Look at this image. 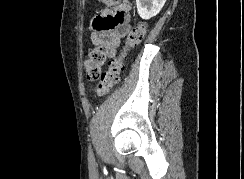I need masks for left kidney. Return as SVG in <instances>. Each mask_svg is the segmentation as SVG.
<instances>
[{
    "label": "left kidney",
    "instance_id": "left-kidney-1",
    "mask_svg": "<svg viewBox=\"0 0 244 179\" xmlns=\"http://www.w3.org/2000/svg\"><path fill=\"white\" fill-rule=\"evenodd\" d=\"M166 0H136L137 12L143 20H150L159 14Z\"/></svg>",
    "mask_w": 244,
    "mask_h": 179
}]
</instances>
